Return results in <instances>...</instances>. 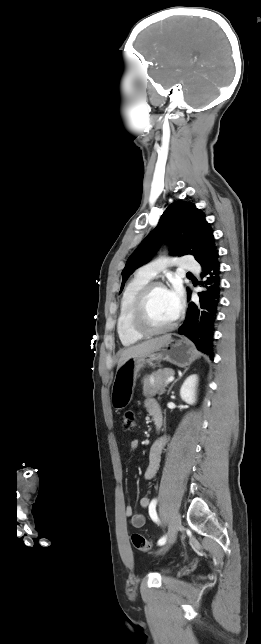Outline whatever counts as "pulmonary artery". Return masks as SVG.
Wrapping results in <instances>:
<instances>
[{"mask_svg": "<svg viewBox=\"0 0 261 644\" xmlns=\"http://www.w3.org/2000/svg\"><path fill=\"white\" fill-rule=\"evenodd\" d=\"M170 265H177L184 270L192 271V272H196L199 270L198 263L191 256H181V257H173V258H160V259L154 260L142 266L139 272H141L142 274L146 275L149 278H153L160 271H162L164 268Z\"/></svg>", "mask_w": 261, "mask_h": 644, "instance_id": "1", "label": "pulmonary artery"}]
</instances>
